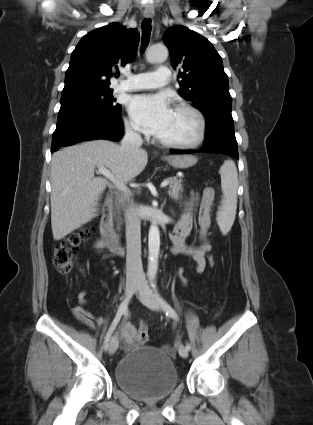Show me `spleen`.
<instances>
[{
	"label": "spleen",
	"instance_id": "3e777b00",
	"mask_svg": "<svg viewBox=\"0 0 313 425\" xmlns=\"http://www.w3.org/2000/svg\"><path fill=\"white\" fill-rule=\"evenodd\" d=\"M219 173L223 200L216 219L221 232L225 235L233 225L237 209L238 173L234 161H224Z\"/></svg>",
	"mask_w": 313,
	"mask_h": 425
}]
</instances>
